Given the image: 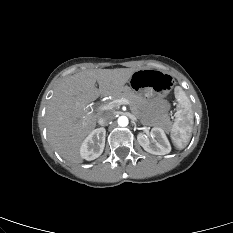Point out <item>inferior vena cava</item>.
Instances as JSON below:
<instances>
[{
  "instance_id": "obj_1",
  "label": "inferior vena cava",
  "mask_w": 233,
  "mask_h": 233,
  "mask_svg": "<svg viewBox=\"0 0 233 233\" xmlns=\"http://www.w3.org/2000/svg\"><path fill=\"white\" fill-rule=\"evenodd\" d=\"M114 118L113 113L111 112H104L99 118H98V123L99 125H107L110 121H112Z\"/></svg>"
}]
</instances>
